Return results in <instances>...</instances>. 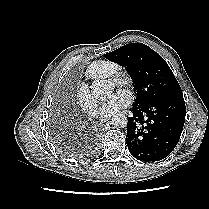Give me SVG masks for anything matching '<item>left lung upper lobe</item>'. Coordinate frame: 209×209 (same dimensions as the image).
<instances>
[{
	"label": "left lung upper lobe",
	"mask_w": 209,
	"mask_h": 209,
	"mask_svg": "<svg viewBox=\"0 0 209 209\" xmlns=\"http://www.w3.org/2000/svg\"><path fill=\"white\" fill-rule=\"evenodd\" d=\"M124 66L134 80L136 99L133 106L182 95V90L165 60L142 43H130L104 55Z\"/></svg>",
	"instance_id": "1"
}]
</instances>
